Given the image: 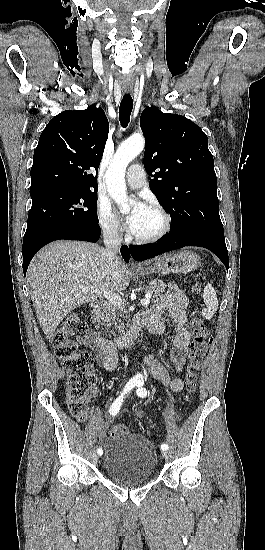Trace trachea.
Listing matches in <instances>:
<instances>
[{"instance_id":"1","label":"trachea","mask_w":265,"mask_h":550,"mask_svg":"<svg viewBox=\"0 0 265 550\" xmlns=\"http://www.w3.org/2000/svg\"><path fill=\"white\" fill-rule=\"evenodd\" d=\"M133 109V100L130 94H125L120 103L119 119L121 126L126 128L130 122V115Z\"/></svg>"}]
</instances>
